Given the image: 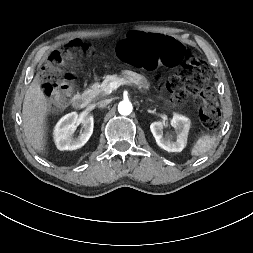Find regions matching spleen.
Segmentation results:
<instances>
[{"mask_svg": "<svg viewBox=\"0 0 253 253\" xmlns=\"http://www.w3.org/2000/svg\"><path fill=\"white\" fill-rule=\"evenodd\" d=\"M216 141V136L203 135L201 136L196 143L194 144L191 155L192 156H200L205 154L207 151L211 149Z\"/></svg>", "mask_w": 253, "mask_h": 253, "instance_id": "spleen-1", "label": "spleen"}]
</instances>
